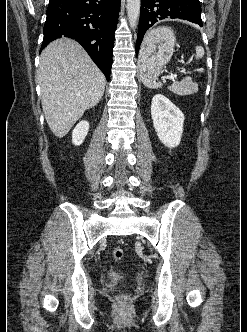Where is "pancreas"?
Masks as SVG:
<instances>
[{
    "label": "pancreas",
    "mask_w": 247,
    "mask_h": 332,
    "mask_svg": "<svg viewBox=\"0 0 247 332\" xmlns=\"http://www.w3.org/2000/svg\"><path fill=\"white\" fill-rule=\"evenodd\" d=\"M183 83L185 85H191L192 84L189 78L184 79Z\"/></svg>",
    "instance_id": "cf45deb5"
}]
</instances>
